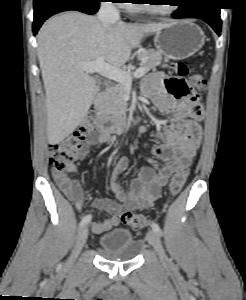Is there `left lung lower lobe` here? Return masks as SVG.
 <instances>
[{
    "instance_id": "obj_1",
    "label": "left lung lower lobe",
    "mask_w": 246,
    "mask_h": 300,
    "mask_svg": "<svg viewBox=\"0 0 246 300\" xmlns=\"http://www.w3.org/2000/svg\"><path fill=\"white\" fill-rule=\"evenodd\" d=\"M220 6L216 0H187L172 14L173 18H199L221 34Z\"/></svg>"
}]
</instances>
